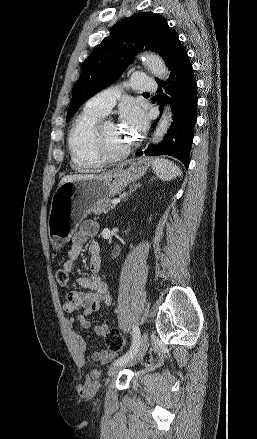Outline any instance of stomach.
Instances as JSON below:
<instances>
[{
	"instance_id": "1",
	"label": "stomach",
	"mask_w": 257,
	"mask_h": 439,
	"mask_svg": "<svg viewBox=\"0 0 257 439\" xmlns=\"http://www.w3.org/2000/svg\"><path fill=\"white\" fill-rule=\"evenodd\" d=\"M149 167L147 159L130 163L129 168L113 169L91 178L61 184L53 195L48 232L55 250L67 242L80 221L98 201L110 199L129 183L141 178Z\"/></svg>"
}]
</instances>
